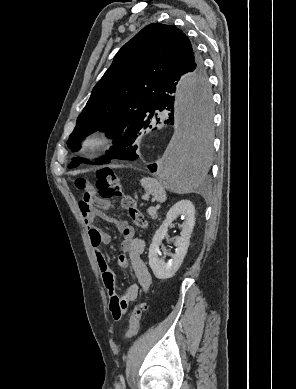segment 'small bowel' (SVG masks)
<instances>
[{"label":"small bowel","instance_id":"obj_1","mask_svg":"<svg viewBox=\"0 0 296 389\" xmlns=\"http://www.w3.org/2000/svg\"><path fill=\"white\" fill-rule=\"evenodd\" d=\"M110 208L111 203L96 196L93 191L83 194L79 201L81 217L88 231L104 286L110 297V311L112 315L116 311L123 315L130 303L137 299L140 291H148L152 277L142 259L144 242L135 237L133 227L126 220L108 219L117 226L123 236L120 245L122 254L118 257V264L122 268L130 266L137 280V283H132L126 288L123 295L117 293L115 274L109 267L103 251V245L108 244L111 237L96 227L94 223L96 217H104V211Z\"/></svg>","mask_w":296,"mask_h":389}]
</instances>
